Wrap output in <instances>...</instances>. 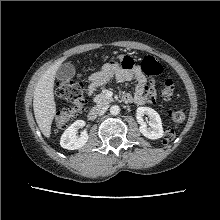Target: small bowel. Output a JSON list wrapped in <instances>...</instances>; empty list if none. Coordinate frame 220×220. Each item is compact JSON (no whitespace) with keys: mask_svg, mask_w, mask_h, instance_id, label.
<instances>
[{"mask_svg":"<svg viewBox=\"0 0 220 220\" xmlns=\"http://www.w3.org/2000/svg\"><path fill=\"white\" fill-rule=\"evenodd\" d=\"M111 78L119 83L136 80V87L134 93H124L122 98L126 102H134L143 105L146 102V94L154 93V89L148 87L147 79L139 68L133 66L127 68H117L111 65H105L99 72L93 74L89 78L88 93L92 95L102 84Z\"/></svg>","mask_w":220,"mask_h":220,"instance_id":"obj_1","label":"small bowel"}]
</instances>
